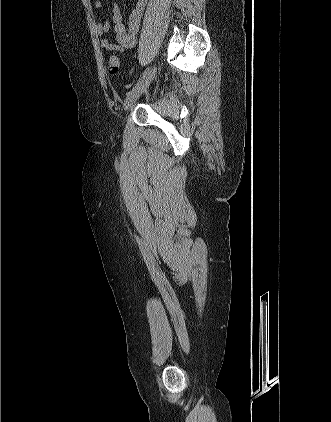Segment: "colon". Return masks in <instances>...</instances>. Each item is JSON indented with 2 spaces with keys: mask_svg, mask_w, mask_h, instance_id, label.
<instances>
[{
  "mask_svg": "<svg viewBox=\"0 0 331 422\" xmlns=\"http://www.w3.org/2000/svg\"><path fill=\"white\" fill-rule=\"evenodd\" d=\"M120 60L117 55H111L108 59V71L110 74H116L119 70Z\"/></svg>",
  "mask_w": 331,
  "mask_h": 422,
  "instance_id": "obj_1",
  "label": "colon"
}]
</instances>
